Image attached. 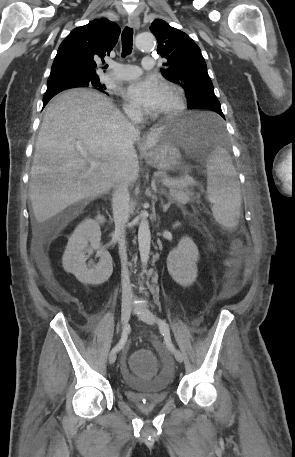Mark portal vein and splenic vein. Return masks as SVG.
I'll use <instances>...</instances> for the list:
<instances>
[{"label":"portal vein and splenic vein","mask_w":295,"mask_h":457,"mask_svg":"<svg viewBox=\"0 0 295 457\" xmlns=\"http://www.w3.org/2000/svg\"><path fill=\"white\" fill-rule=\"evenodd\" d=\"M84 156L89 161L91 167L95 168V167H99L100 166L101 163L99 161H96L94 159H90L86 155H84ZM193 182H194V179L190 175H186L184 178H181V179L165 178V179L162 180V184L165 185V186H168V187H171V186H186L189 183H193Z\"/></svg>","instance_id":"portal-vein-and-splenic-vein-1"}]
</instances>
